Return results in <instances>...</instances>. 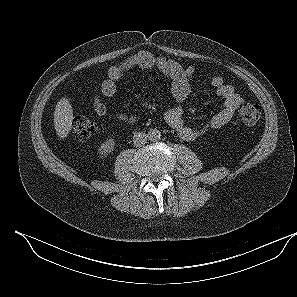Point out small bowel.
Returning <instances> with one entry per match:
<instances>
[{"label":"small bowel","mask_w":297,"mask_h":297,"mask_svg":"<svg viewBox=\"0 0 297 297\" xmlns=\"http://www.w3.org/2000/svg\"><path fill=\"white\" fill-rule=\"evenodd\" d=\"M133 69H157L162 72L171 80L172 95L178 103L188 97L191 82L197 72V68L193 65L183 67L174 60L155 56L149 51H137L109 69L107 77L101 84L102 94L106 97L115 95L118 82ZM205 82L211 85L216 95L222 99L221 110L209 121L198 127L185 125L182 117V109L178 105L171 107L165 113L166 123L185 141H194L209 131L226 125L233 118L239 106L244 102L234 87L225 83L222 77H210L205 79ZM93 107L99 116L106 115L107 106L99 96L94 98ZM115 118L124 123L135 121L134 116L124 113L116 114Z\"/></svg>","instance_id":"c3829d8e"}]
</instances>
